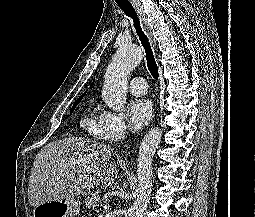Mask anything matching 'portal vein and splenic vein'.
<instances>
[{
	"mask_svg": "<svg viewBox=\"0 0 255 217\" xmlns=\"http://www.w3.org/2000/svg\"><path fill=\"white\" fill-rule=\"evenodd\" d=\"M104 208H105V209L109 208V205H108V204H105V205H104Z\"/></svg>",
	"mask_w": 255,
	"mask_h": 217,
	"instance_id": "18ae733b",
	"label": "portal vein and splenic vein"
}]
</instances>
